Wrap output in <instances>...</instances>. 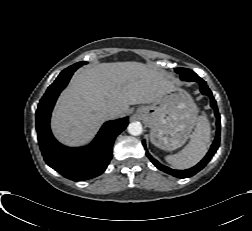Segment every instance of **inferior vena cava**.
I'll return each mask as SVG.
<instances>
[{
  "label": "inferior vena cava",
  "instance_id": "inferior-vena-cava-1",
  "mask_svg": "<svg viewBox=\"0 0 252 231\" xmlns=\"http://www.w3.org/2000/svg\"><path fill=\"white\" fill-rule=\"evenodd\" d=\"M104 113L109 117H114L117 114V110L115 108H107L104 110Z\"/></svg>",
  "mask_w": 252,
  "mask_h": 231
}]
</instances>
